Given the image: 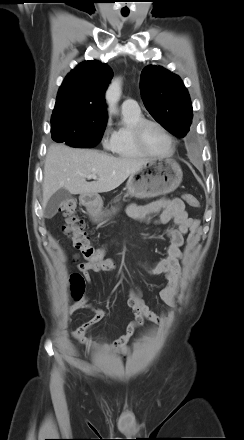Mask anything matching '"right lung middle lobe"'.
<instances>
[{"instance_id": "right-lung-middle-lobe-1", "label": "right lung middle lobe", "mask_w": 244, "mask_h": 440, "mask_svg": "<svg viewBox=\"0 0 244 440\" xmlns=\"http://www.w3.org/2000/svg\"><path fill=\"white\" fill-rule=\"evenodd\" d=\"M52 139L71 147L90 148L97 145L105 130L106 122H80L61 120L51 122Z\"/></svg>"}]
</instances>
